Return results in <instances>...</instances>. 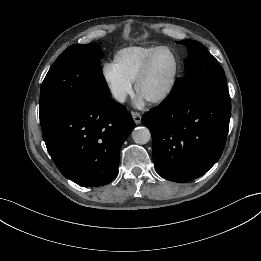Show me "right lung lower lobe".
<instances>
[{"instance_id":"right-lung-lower-lobe-1","label":"right lung lower lobe","mask_w":261,"mask_h":261,"mask_svg":"<svg viewBox=\"0 0 261 261\" xmlns=\"http://www.w3.org/2000/svg\"><path fill=\"white\" fill-rule=\"evenodd\" d=\"M133 127L131 114L112 98L76 104L41 124L60 172L86 187L106 185L115 178L121 146Z\"/></svg>"}]
</instances>
